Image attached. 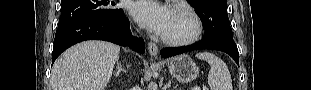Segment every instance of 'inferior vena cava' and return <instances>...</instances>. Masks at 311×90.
Wrapping results in <instances>:
<instances>
[{
  "mask_svg": "<svg viewBox=\"0 0 311 90\" xmlns=\"http://www.w3.org/2000/svg\"><path fill=\"white\" fill-rule=\"evenodd\" d=\"M133 90H140V88H138V86H136L135 88H133Z\"/></svg>",
  "mask_w": 311,
  "mask_h": 90,
  "instance_id": "obj_1",
  "label": "inferior vena cava"
}]
</instances>
